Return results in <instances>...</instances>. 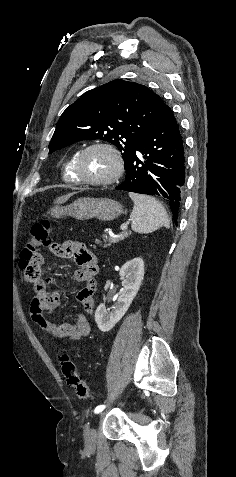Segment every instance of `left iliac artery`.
I'll list each match as a JSON object with an SVG mask.
<instances>
[{
  "label": "left iliac artery",
  "mask_w": 236,
  "mask_h": 477,
  "mask_svg": "<svg viewBox=\"0 0 236 477\" xmlns=\"http://www.w3.org/2000/svg\"><path fill=\"white\" fill-rule=\"evenodd\" d=\"M105 407H106L105 405H99V406H97V407L95 408V410H94V413L97 414V412H99V411H101V410H104Z\"/></svg>",
  "instance_id": "left-iliac-artery-1"
}]
</instances>
